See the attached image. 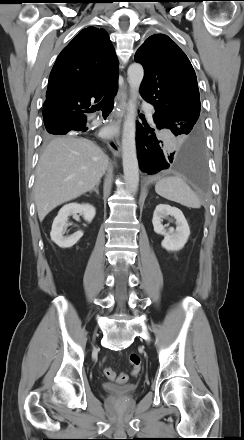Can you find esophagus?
<instances>
[{
	"label": "esophagus",
	"instance_id": "34e87169",
	"mask_svg": "<svg viewBox=\"0 0 244 440\" xmlns=\"http://www.w3.org/2000/svg\"><path fill=\"white\" fill-rule=\"evenodd\" d=\"M128 100V86L127 83L124 82L118 90L117 96L115 98V110L112 114V123L116 124L118 127L120 126ZM107 144L111 152L115 156H120L121 154V143L118 136L109 138L107 140Z\"/></svg>",
	"mask_w": 244,
	"mask_h": 440
}]
</instances>
